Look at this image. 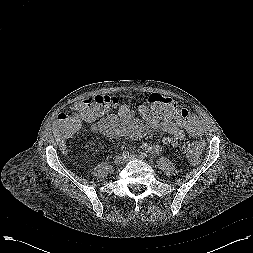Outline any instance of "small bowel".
<instances>
[{
  "mask_svg": "<svg viewBox=\"0 0 253 253\" xmlns=\"http://www.w3.org/2000/svg\"><path fill=\"white\" fill-rule=\"evenodd\" d=\"M148 108L142 107L140 109V115L144 120H146L148 127L143 125L133 114V111L126 106H123L118 112V122L119 125H116V129L119 133H125L134 139L143 138L148 128L160 130L167 136L163 137V143L172 147H177L179 141L184 137V131L182 125L178 121L172 119H163L161 121L152 119L147 116ZM111 118L102 119L95 127L94 130L98 131V127L102 126L104 122L109 121ZM62 133V132H61ZM63 134V133H62ZM200 134V132L198 133ZM64 135V134H63ZM144 149L151 153H159L162 151V146L157 144H147L144 146Z\"/></svg>",
  "mask_w": 253,
  "mask_h": 253,
  "instance_id": "1",
  "label": "small bowel"
}]
</instances>
